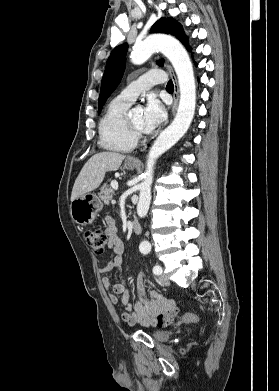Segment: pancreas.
Returning <instances> with one entry per match:
<instances>
[{"instance_id":"obj_1","label":"pancreas","mask_w":279,"mask_h":391,"mask_svg":"<svg viewBox=\"0 0 279 391\" xmlns=\"http://www.w3.org/2000/svg\"><path fill=\"white\" fill-rule=\"evenodd\" d=\"M113 194V189L108 184H104L100 189L99 196L105 204H109V202L113 198Z\"/></svg>"}]
</instances>
